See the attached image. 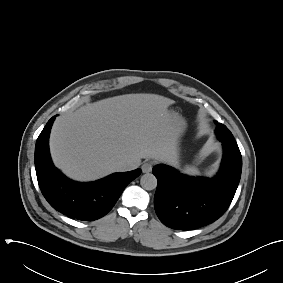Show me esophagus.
<instances>
[{"label":"esophagus","mask_w":283,"mask_h":283,"mask_svg":"<svg viewBox=\"0 0 283 283\" xmlns=\"http://www.w3.org/2000/svg\"><path fill=\"white\" fill-rule=\"evenodd\" d=\"M152 168H153V163L150 162V161L144 162V163L142 164V166H141V169H142V172H143V173H149V172H151Z\"/></svg>","instance_id":"34e87169"}]
</instances>
